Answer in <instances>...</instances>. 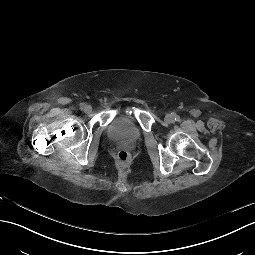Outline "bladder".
Listing matches in <instances>:
<instances>
[{"label":"bladder","mask_w":255,"mask_h":255,"mask_svg":"<svg viewBox=\"0 0 255 255\" xmlns=\"http://www.w3.org/2000/svg\"><path fill=\"white\" fill-rule=\"evenodd\" d=\"M108 136L113 139L122 138L136 140L134 126L127 117L113 120L108 126Z\"/></svg>","instance_id":"31cf9c89"}]
</instances>
